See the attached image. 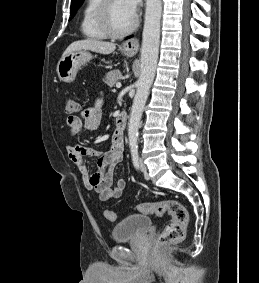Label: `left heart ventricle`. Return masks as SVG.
Segmentation results:
<instances>
[{
  "label": "left heart ventricle",
  "instance_id": "obj_1",
  "mask_svg": "<svg viewBox=\"0 0 259 283\" xmlns=\"http://www.w3.org/2000/svg\"><path fill=\"white\" fill-rule=\"evenodd\" d=\"M111 22L115 30L122 31L130 26L134 17L126 10L122 0H113Z\"/></svg>",
  "mask_w": 259,
  "mask_h": 283
}]
</instances>
